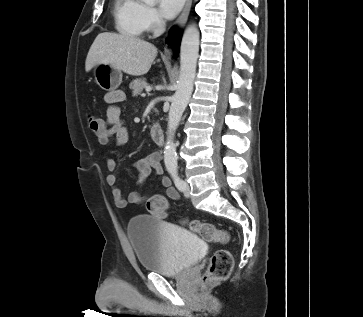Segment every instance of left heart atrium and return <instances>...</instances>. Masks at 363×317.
Instances as JSON below:
<instances>
[{"label": "left heart atrium", "instance_id": "left-heart-atrium-1", "mask_svg": "<svg viewBox=\"0 0 363 317\" xmlns=\"http://www.w3.org/2000/svg\"><path fill=\"white\" fill-rule=\"evenodd\" d=\"M184 0H159L161 14L168 19L175 17L181 10Z\"/></svg>", "mask_w": 363, "mask_h": 317}]
</instances>
